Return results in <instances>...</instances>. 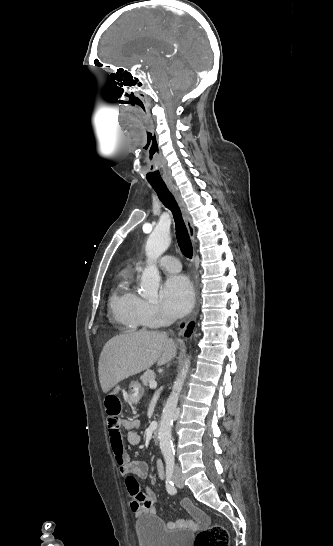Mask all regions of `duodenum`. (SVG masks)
Returning <instances> with one entry per match:
<instances>
[{
	"label": "duodenum",
	"instance_id": "1",
	"mask_svg": "<svg viewBox=\"0 0 333 546\" xmlns=\"http://www.w3.org/2000/svg\"><path fill=\"white\" fill-rule=\"evenodd\" d=\"M152 438H153V441L155 443H158L159 440H160V436H159V426L158 425H155V427L153 428V431H152Z\"/></svg>",
	"mask_w": 333,
	"mask_h": 546
}]
</instances>
